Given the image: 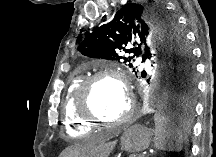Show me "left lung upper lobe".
<instances>
[{
  "instance_id": "left-lung-upper-lobe-1",
  "label": "left lung upper lobe",
  "mask_w": 216,
  "mask_h": 157,
  "mask_svg": "<svg viewBox=\"0 0 216 157\" xmlns=\"http://www.w3.org/2000/svg\"><path fill=\"white\" fill-rule=\"evenodd\" d=\"M78 50L91 58L124 62L154 58L162 86L171 81L181 91L196 83L191 50L176 19L161 5H124L110 22L81 38ZM121 51L132 56H121Z\"/></svg>"
}]
</instances>
